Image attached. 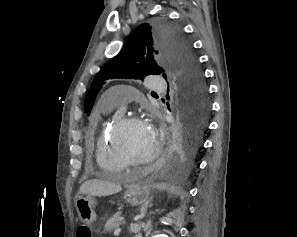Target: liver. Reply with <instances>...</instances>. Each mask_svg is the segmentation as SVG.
<instances>
[{"mask_svg":"<svg viewBox=\"0 0 297 237\" xmlns=\"http://www.w3.org/2000/svg\"><path fill=\"white\" fill-rule=\"evenodd\" d=\"M119 184H114L104 180L92 179L84 182L80 187L81 194H88L91 196H109L121 191Z\"/></svg>","mask_w":297,"mask_h":237,"instance_id":"liver-1","label":"liver"}]
</instances>
